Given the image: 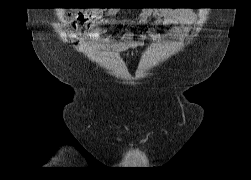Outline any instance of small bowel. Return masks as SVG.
Wrapping results in <instances>:
<instances>
[{"mask_svg":"<svg viewBox=\"0 0 251 180\" xmlns=\"http://www.w3.org/2000/svg\"><path fill=\"white\" fill-rule=\"evenodd\" d=\"M73 17L88 21L93 26L88 31V36L92 40H99L101 38L102 30L96 25L102 23H112L114 17L116 16L115 11H104L101 9H92L86 12L75 11L71 14ZM196 15L190 10L184 9H157V10H147L140 14L138 18V23L141 24H153V25H165V26H179L174 33L170 35H163L158 32H150L147 37L154 41H164L168 37L175 36L177 34L185 33L188 31L189 27L195 22ZM70 37L76 38L75 33H70ZM139 38L132 32L124 33L120 40L116 42L113 46L117 50L125 51L136 47L140 43ZM105 44H110L109 40L103 41Z\"/></svg>","mask_w":251,"mask_h":180,"instance_id":"obj_1","label":"small bowel"}]
</instances>
